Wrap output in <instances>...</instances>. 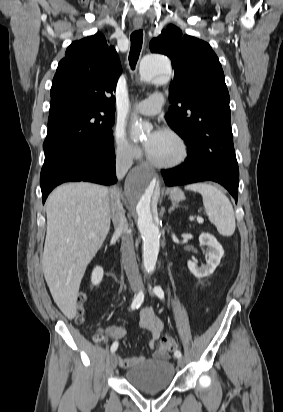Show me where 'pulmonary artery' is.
Masks as SVG:
<instances>
[{"label": "pulmonary artery", "instance_id": "obj_1", "mask_svg": "<svg viewBox=\"0 0 283 412\" xmlns=\"http://www.w3.org/2000/svg\"><path fill=\"white\" fill-rule=\"evenodd\" d=\"M164 101L165 98L163 94H153L149 98L139 102L136 105V110L142 115L152 116L161 110Z\"/></svg>", "mask_w": 283, "mask_h": 412}]
</instances>
